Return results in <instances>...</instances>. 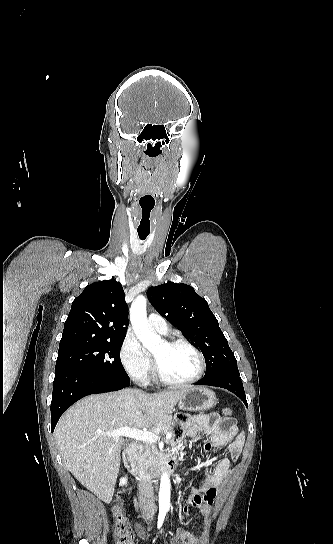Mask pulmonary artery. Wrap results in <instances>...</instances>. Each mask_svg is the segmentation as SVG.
<instances>
[{"label": "pulmonary artery", "instance_id": "1", "mask_svg": "<svg viewBox=\"0 0 333 544\" xmlns=\"http://www.w3.org/2000/svg\"><path fill=\"white\" fill-rule=\"evenodd\" d=\"M148 322L150 326L159 333L166 334L168 332L167 322L162 316L151 313L148 317Z\"/></svg>", "mask_w": 333, "mask_h": 544}]
</instances>
